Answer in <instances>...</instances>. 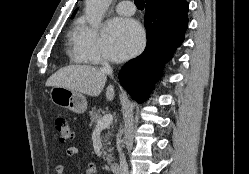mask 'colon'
Listing matches in <instances>:
<instances>
[{"label":"colon","instance_id":"obj_1","mask_svg":"<svg viewBox=\"0 0 249 174\" xmlns=\"http://www.w3.org/2000/svg\"><path fill=\"white\" fill-rule=\"evenodd\" d=\"M55 129L58 134L59 141L63 144L70 142L74 137L73 128L65 118L56 119Z\"/></svg>","mask_w":249,"mask_h":174}]
</instances>
